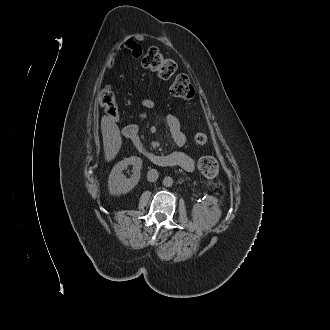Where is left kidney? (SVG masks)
Wrapping results in <instances>:
<instances>
[{
	"label": "left kidney",
	"instance_id": "1",
	"mask_svg": "<svg viewBox=\"0 0 330 330\" xmlns=\"http://www.w3.org/2000/svg\"><path fill=\"white\" fill-rule=\"evenodd\" d=\"M213 204L212 208L209 205ZM221 210L213 197H207V201L197 203L192 209L194 223L202 230H209L217 224L221 217Z\"/></svg>",
	"mask_w": 330,
	"mask_h": 330
}]
</instances>
